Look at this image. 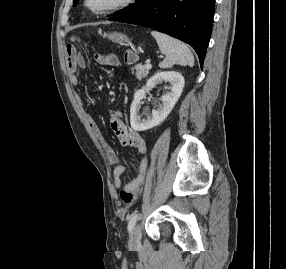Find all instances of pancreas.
<instances>
[{"instance_id": "pancreas-1", "label": "pancreas", "mask_w": 286, "mask_h": 269, "mask_svg": "<svg viewBox=\"0 0 286 269\" xmlns=\"http://www.w3.org/2000/svg\"><path fill=\"white\" fill-rule=\"evenodd\" d=\"M133 73L134 70H136V77L138 80H142L144 77H146L149 74V69L142 64H137L135 67L132 68Z\"/></svg>"}]
</instances>
